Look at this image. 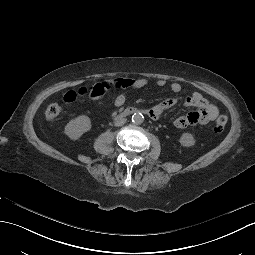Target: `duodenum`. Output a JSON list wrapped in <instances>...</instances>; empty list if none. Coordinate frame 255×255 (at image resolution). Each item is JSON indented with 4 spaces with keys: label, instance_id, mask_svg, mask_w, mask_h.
Here are the masks:
<instances>
[{
    "label": "duodenum",
    "instance_id": "1",
    "mask_svg": "<svg viewBox=\"0 0 255 255\" xmlns=\"http://www.w3.org/2000/svg\"><path fill=\"white\" fill-rule=\"evenodd\" d=\"M137 111H138V110H137V108H135V107H127V108H125V109L119 114V116H127V115H130V114L135 113V112H137ZM143 112L146 113V114H148L149 116H153L151 110H144Z\"/></svg>",
    "mask_w": 255,
    "mask_h": 255
}]
</instances>
